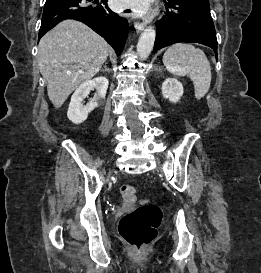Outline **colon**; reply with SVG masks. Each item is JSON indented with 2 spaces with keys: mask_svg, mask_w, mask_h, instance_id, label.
I'll return each mask as SVG.
<instances>
[{
  "mask_svg": "<svg viewBox=\"0 0 261 273\" xmlns=\"http://www.w3.org/2000/svg\"><path fill=\"white\" fill-rule=\"evenodd\" d=\"M120 193L125 201H136V188L133 185H122ZM161 220L162 212L158 206L142 203L140 207L121 218L118 227L119 234L127 244L136 250H142L156 237Z\"/></svg>",
  "mask_w": 261,
  "mask_h": 273,
  "instance_id": "colon-1",
  "label": "colon"
}]
</instances>
